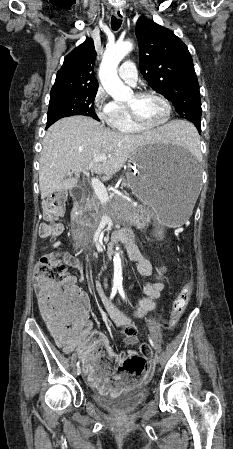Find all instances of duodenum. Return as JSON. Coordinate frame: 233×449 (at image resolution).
Here are the masks:
<instances>
[{"label":"duodenum","mask_w":233,"mask_h":449,"mask_svg":"<svg viewBox=\"0 0 233 449\" xmlns=\"http://www.w3.org/2000/svg\"><path fill=\"white\" fill-rule=\"evenodd\" d=\"M72 196H73V201H74V205H75L74 209H73V215H74V217H77L78 216V207L85 201L87 194L84 190L79 188V189H76L75 191H73ZM117 243H121V244L125 245L126 249L130 253H134L133 247L131 246V243L129 241L128 232L126 230H122L120 232L115 233L113 239L107 244L106 249L104 251L105 257H111L113 255L114 248Z\"/></svg>","instance_id":"duodenum-1"}]
</instances>
